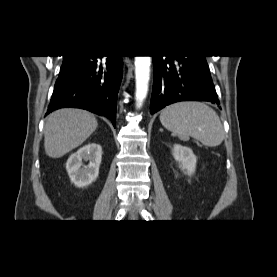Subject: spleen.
<instances>
[{
    "label": "spleen",
    "instance_id": "1",
    "mask_svg": "<svg viewBox=\"0 0 277 277\" xmlns=\"http://www.w3.org/2000/svg\"><path fill=\"white\" fill-rule=\"evenodd\" d=\"M161 124L181 140L193 137L205 146L215 147L224 140V130L217 113L200 102H180L162 110Z\"/></svg>",
    "mask_w": 277,
    "mask_h": 277
}]
</instances>
